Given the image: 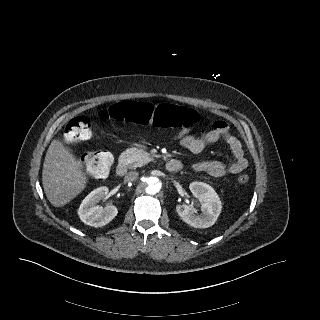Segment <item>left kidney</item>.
<instances>
[{"label": "left kidney", "mask_w": 320, "mask_h": 320, "mask_svg": "<svg viewBox=\"0 0 320 320\" xmlns=\"http://www.w3.org/2000/svg\"><path fill=\"white\" fill-rule=\"evenodd\" d=\"M193 195L202 200V214H197L196 209L189 205H177L176 210L181 219L194 228H208L212 226L221 213V201L215 190L203 182H192L189 186Z\"/></svg>", "instance_id": "1"}]
</instances>
